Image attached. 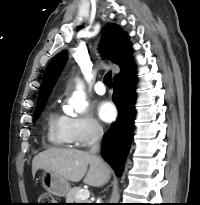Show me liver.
Masks as SVG:
<instances>
[{"label":"liver","instance_id":"1","mask_svg":"<svg viewBox=\"0 0 200 205\" xmlns=\"http://www.w3.org/2000/svg\"><path fill=\"white\" fill-rule=\"evenodd\" d=\"M38 169L72 182L84 178L83 182L93 187L103 186L111 176L109 166L100 157L78 149L50 148L40 152L32 161L33 176Z\"/></svg>","mask_w":200,"mask_h":205}]
</instances>
